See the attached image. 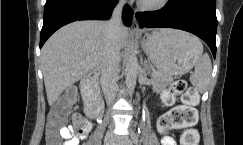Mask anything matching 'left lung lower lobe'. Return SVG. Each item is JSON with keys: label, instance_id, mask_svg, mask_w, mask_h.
<instances>
[{"label": "left lung lower lobe", "instance_id": "0a47b994", "mask_svg": "<svg viewBox=\"0 0 243 145\" xmlns=\"http://www.w3.org/2000/svg\"><path fill=\"white\" fill-rule=\"evenodd\" d=\"M140 27H167L191 32L216 55L217 18L215 8L196 7L191 3L169 0L160 10L136 14Z\"/></svg>", "mask_w": 243, "mask_h": 145}]
</instances>
